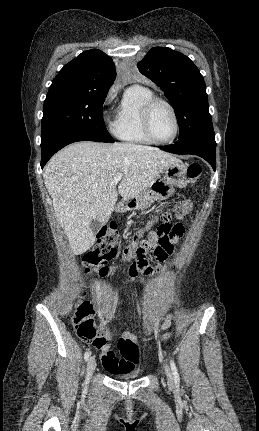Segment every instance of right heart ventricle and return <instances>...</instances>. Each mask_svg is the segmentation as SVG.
Listing matches in <instances>:
<instances>
[{"mask_svg": "<svg viewBox=\"0 0 259 431\" xmlns=\"http://www.w3.org/2000/svg\"><path fill=\"white\" fill-rule=\"evenodd\" d=\"M153 97L155 95L150 89L138 85L131 86L125 91L113 126L118 139L131 144H152L143 130L142 109Z\"/></svg>", "mask_w": 259, "mask_h": 431, "instance_id": "obj_1", "label": "right heart ventricle"}]
</instances>
